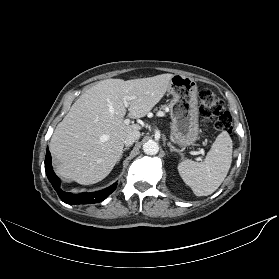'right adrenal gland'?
<instances>
[{
  "label": "right adrenal gland",
  "instance_id": "2a0ac1e0",
  "mask_svg": "<svg viewBox=\"0 0 279 279\" xmlns=\"http://www.w3.org/2000/svg\"><path fill=\"white\" fill-rule=\"evenodd\" d=\"M128 149H129V147H126V148L123 149L122 154H121V156H120V158H119V160H118V163H119L120 159L122 158L124 151H126V150H128Z\"/></svg>",
  "mask_w": 279,
  "mask_h": 279
}]
</instances>
